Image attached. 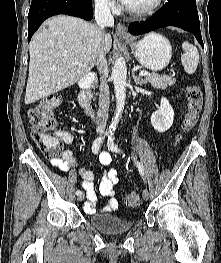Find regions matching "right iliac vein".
Masks as SVG:
<instances>
[{
	"mask_svg": "<svg viewBox=\"0 0 221 263\" xmlns=\"http://www.w3.org/2000/svg\"><path fill=\"white\" fill-rule=\"evenodd\" d=\"M77 200L83 201L84 200V194L78 195Z\"/></svg>",
	"mask_w": 221,
	"mask_h": 263,
	"instance_id": "right-iliac-vein-1",
	"label": "right iliac vein"
}]
</instances>
